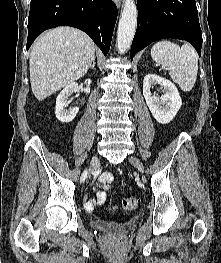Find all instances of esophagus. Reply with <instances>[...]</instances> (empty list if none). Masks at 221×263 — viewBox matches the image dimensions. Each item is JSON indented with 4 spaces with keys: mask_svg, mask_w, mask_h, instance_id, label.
Wrapping results in <instances>:
<instances>
[{
    "mask_svg": "<svg viewBox=\"0 0 221 263\" xmlns=\"http://www.w3.org/2000/svg\"><path fill=\"white\" fill-rule=\"evenodd\" d=\"M115 5L119 8L121 5V0H113Z\"/></svg>",
    "mask_w": 221,
    "mask_h": 263,
    "instance_id": "1",
    "label": "esophagus"
}]
</instances>
